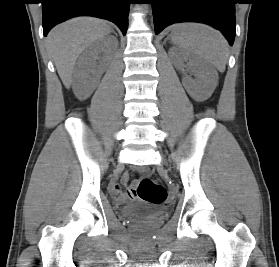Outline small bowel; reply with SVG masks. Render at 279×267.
Wrapping results in <instances>:
<instances>
[{"mask_svg":"<svg viewBox=\"0 0 279 267\" xmlns=\"http://www.w3.org/2000/svg\"><path fill=\"white\" fill-rule=\"evenodd\" d=\"M128 181L129 176L127 174H124L122 177V182L126 184ZM109 191L112 197L118 202H123L127 198L135 199L136 197H138V192H133L137 191V186H127L128 193L125 194L122 192L121 187L117 182H111L109 185Z\"/></svg>","mask_w":279,"mask_h":267,"instance_id":"c3829d8e","label":"small bowel"}]
</instances>
